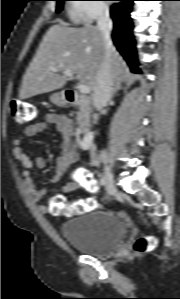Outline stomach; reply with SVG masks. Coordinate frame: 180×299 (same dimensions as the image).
<instances>
[{
    "instance_id": "0dacf381",
    "label": "stomach",
    "mask_w": 180,
    "mask_h": 299,
    "mask_svg": "<svg viewBox=\"0 0 180 299\" xmlns=\"http://www.w3.org/2000/svg\"><path fill=\"white\" fill-rule=\"evenodd\" d=\"M50 101L59 107H63L68 104V100L66 99L64 92L52 94L50 96Z\"/></svg>"
}]
</instances>
